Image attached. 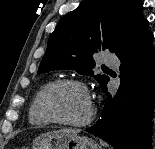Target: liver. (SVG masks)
I'll return each instance as SVG.
<instances>
[{"label":"liver","instance_id":"obj_1","mask_svg":"<svg viewBox=\"0 0 155 149\" xmlns=\"http://www.w3.org/2000/svg\"><path fill=\"white\" fill-rule=\"evenodd\" d=\"M60 131L67 132V133H73V134H78L80 132V130H78V129H62Z\"/></svg>","mask_w":155,"mask_h":149}]
</instances>
